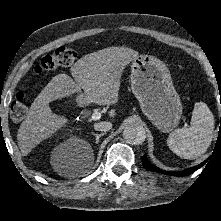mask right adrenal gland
I'll use <instances>...</instances> for the list:
<instances>
[{
    "instance_id": "right-adrenal-gland-1",
    "label": "right adrenal gland",
    "mask_w": 221,
    "mask_h": 221,
    "mask_svg": "<svg viewBox=\"0 0 221 221\" xmlns=\"http://www.w3.org/2000/svg\"><path fill=\"white\" fill-rule=\"evenodd\" d=\"M91 133H92V135H94L95 138H96V144H98L100 137H102V136L105 134V133L97 134V133H94V132H91Z\"/></svg>"
}]
</instances>
